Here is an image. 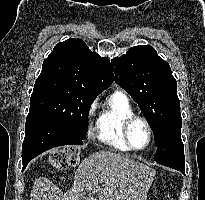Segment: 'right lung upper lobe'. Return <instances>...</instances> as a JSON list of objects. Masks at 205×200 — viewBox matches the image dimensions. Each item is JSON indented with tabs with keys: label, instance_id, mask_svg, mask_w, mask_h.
I'll return each mask as SVG.
<instances>
[{
	"label": "right lung upper lobe",
	"instance_id": "right-lung-upper-lobe-1",
	"mask_svg": "<svg viewBox=\"0 0 205 200\" xmlns=\"http://www.w3.org/2000/svg\"><path fill=\"white\" fill-rule=\"evenodd\" d=\"M113 79L110 61L91 52L81 39H68L58 43L44 60L37 78L67 82L95 96L110 87Z\"/></svg>",
	"mask_w": 205,
	"mask_h": 200
}]
</instances>
